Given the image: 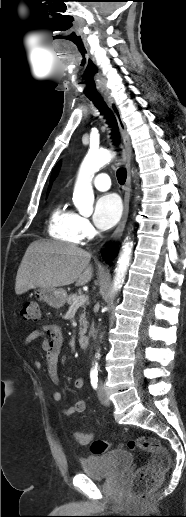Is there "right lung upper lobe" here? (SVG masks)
I'll return each instance as SVG.
<instances>
[{
    "instance_id": "right-lung-upper-lobe-1",
    "label": "right lung upper lobe",
    "mask_w": 186,
    "mask_h": 517,
    "mask_svg": "<svg viewBox=\"0 0 186 517\" xmlns=\"http://www.w3.org/2000/svg\"><path fill=\"white\" fill-rule=\"evenodd\" d=\"M59 166H60V163H58V164L54 167V169H53V171H52L51 178H50V182H52V181L54 180V178L56 177V175H57V173H58V171H59Z\"/></svg>"
}]
</instances>
